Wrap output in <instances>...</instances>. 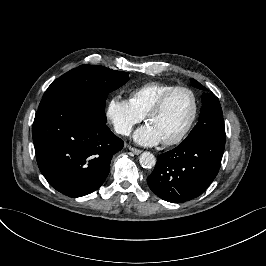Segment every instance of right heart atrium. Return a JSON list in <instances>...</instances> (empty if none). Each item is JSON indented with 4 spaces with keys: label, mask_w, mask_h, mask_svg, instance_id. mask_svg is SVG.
I'll use <instances>...</instances> for the list:
<instances>
[{
    "label": "right heart atrium",
    "mask_w": 266,
    "mask_h": 266,
    "mask_svg": "<svg viewBox=\"0 0 266 266\" xmlns=\"http://www.w3.org/2000/svg\"><path fill=\"white\" fill-rule=\"evenodd\" d=\"M106 117L117 133L128 135L144 116L135 109L130 99L114 95L107 100Z\"/></svg>",
    "instance_id": "1"
}]
</instances>
